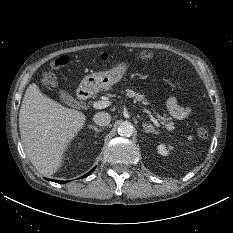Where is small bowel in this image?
Returning <instances> with one entry per match:
<instances>
[{"instance_id":"obj_1","label":"small bowel","mask_w":233,"mask_h":233,"mask_svg":"<svg viewBox=\"0 0 233 233\" xmlns=\"http://www.w3.org/2000/svg\"><path fill=\"white\" fill-rule=\"evenodd\" d=\"M167 109L170 115L177 120H183L191 113V108L189 106L180 105L178 100L173 96L169 97L167 100Z\"/></svg>"}]
</instances>
